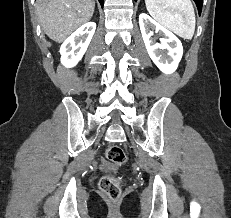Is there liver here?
Masks as SVG:
<instances>
[{
	"label": "liver",
	"mask_w": 231,
	"mask_h": 218,
	"mask_svg": "<svg viewBox=\"0 0 231 218\" xmlns=\"http://www.w3.org/2000/svg\"><path fill=\"white\" fill-rule=\"evenodd\" d=\"M37 14L45 34L63 42L93 16L94 0H37Z\"/></svg>",
	"instance_id": "6515ba94"
}]
</instances>
